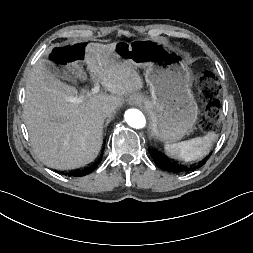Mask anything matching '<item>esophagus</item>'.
I'll return each mask as SVG.
<instances>
[{
  "label": "esophagus",
  "instance_id": "obj_1",
  "mask_svg": "<svg viewBox=\"0 0 253 253\" xmlns=\"http://www.w3.org/2000/svg\"><path fill=\"white\" fill-rule=\"evenodd\" d=\"M138 101H139L138 97L132 96V97L130 98V100H129V103H130L131 105H135V104L138 103Z\"/></svg>",
  "mask_w": 253,
  "mask_h": 253
}]
</instances>
